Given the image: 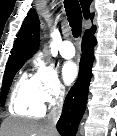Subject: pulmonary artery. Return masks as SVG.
I'll use <instances>...</instances> for the list:
<instances>
[{"label": "pulmonary artery", "mask_w": 117, "mask_h": 136, "mask_svg": "<svg viewBox=\"0 0 117 136\" xmlns=\"http://www.w3.org/2000/svg\"><path fill=\"white\" fill-rule=\"evenodd\" d=\"M60 54L64 58H72L75 55V48L70 40H64L60 45Z\"/></svg>", "instance_id": "e3ab8cb5"}]
</instances>
